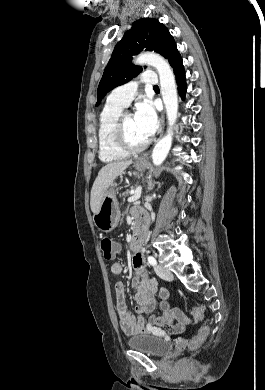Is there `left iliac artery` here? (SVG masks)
<instances>
[{"mask_svg": "<svg viewBox=\"0 0 265 390\" xmlns=\"http://www.w3.org/2000/svg\"><path fill=\"white\" fill-rule=\"evenodd\" d=\"M148 262L151 264V265H156L157 264V261L156 259L153 257V256H149L148 257Z\"/></svg>", "mask_w": 265, "mask_h": 390, "instance_id": "44dca946", "label": "left iliac artery"}]
</instances>
